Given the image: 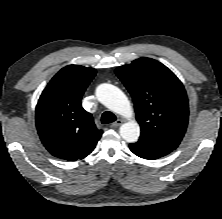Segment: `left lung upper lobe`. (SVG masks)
<instances>
[{"mask_svg": "<svg viewBox=\"0 0 222 219\" xmlns=\"http://www.w3.org/2000/svg\"><path fill=\"white\" fill-rule=\"evenodd\" d=\"M116 75L132 96L139 140L176 149L188 123L187 95L180 80L162 63L139 58L118 67Z\"/></svg>", "mask_w": 222, "mask_h": 219, "instance_id": "5c2ea615", "label": "left lung upper lobe"}]
</instances>
